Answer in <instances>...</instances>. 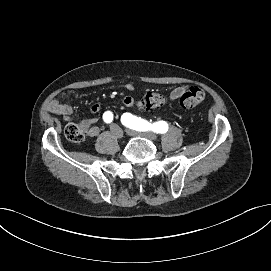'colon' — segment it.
<instances>
[{
  "mask_svg": "<svg viewBox=\"0 0 271 271\" xmlns=\"http://www.w3.org/2000/svg\"><path fill=\"white\" fill-rule=\"evenodd\" d=\"M206 93L199 87H190L180 97V104L185 109L198 106L205 98ZM165 103V96L158 91L146 92L137 102L140 109L159 108ZM85 130L77 124H69L65 128V136L69 141L81 142L85 138Z\"/></svg>",
  "mask_w": 271,
  "mask_h": 271,
  "instance_id": "1",
  "label": "colon"
}]
</instances>
